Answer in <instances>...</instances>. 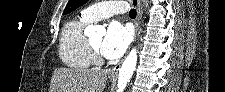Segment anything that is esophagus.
I'll return each instance as SVG.
<instances>
[{
  "label": "esophagus",
  "mask_w": 225,
  "mask_h": 92,
  "mask_svg": "<svg viewBox=\"0 0 225 92\" xmlns=\"http://www.w3.org/2000/svg\"><path fill=\"white\" fill-rule=\"evenodd\" d=\"M132 4L136 7L137 10V18L135 21V39L139 35V30H140V20H141V5H140V0H132ZM122 61L116 64L111 70H110V75L111 76H116L121 68Z\"/></svg>",
  "instance_id": "1"
}]
</instances>
